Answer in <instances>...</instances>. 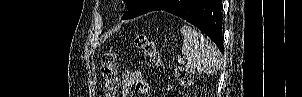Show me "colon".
Segmentation results:
<instances>
[{
  "label": "colon",
  "instance_id": "obj_1",
  "mask_svg": "<svg viewBox=\"0 0 302 97\" xmlns=\"http://www.w3.org/2000/svg\"><path fill=\"white\" fill-rule=\"evenodd\" d=\"M135 44L139 51L143 53L154 65L161 64V57L153 42L144 34L139 33L135 38ZM117 54L113 52L105 53L101 59V73L104 80V92L107 97H113L118 89L117 76ZM176 78L182 85H189L190 75L182 69L175 71Z\"/></svg>",
  "mask_w": 302,
  "mask_h": 97
}]
</instances>
